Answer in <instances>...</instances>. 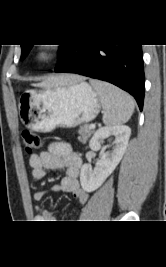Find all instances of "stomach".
<instances>
[{
  "label": "stomach",
  "mask_w": 166,
  "mask_h": 267,
  "mask_svg": "<svg viewBox=\"0 0 166 267\" xmlns=\"http://www.w3.org/2000/svg\"><path fill=\"white\" fill-rule=\"evenodd\" d=\"M100 109L98 93L84 81L29 90L19 100L22 123L33 131L43 133L90 122Z\"/></svg>",
  "instance_id": "stomach-1"
}]
</instances>
